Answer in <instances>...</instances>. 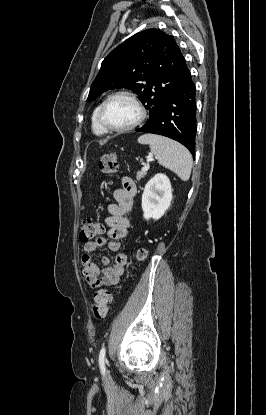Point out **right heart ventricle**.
<instances>
[{
	"instance_id": "obj_1",
	"label": "right heart ventricle",
	"mask_w": 266,
	"mask_h": 415,
	"mask_svg": "<svg viewBox=\"0 0 266 415\" xmlns=\"http://www.w3.org/2000/svg\"><path fill=\"white\" fill-rule=\"evenodd\" d=\"M101 104L97 105L93 110L91 117V128L95 135L102 136L107 133V131L101 126L99 122V109Z\"/></svg>"
}]
</instances>
